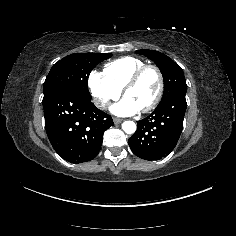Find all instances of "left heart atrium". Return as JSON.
<instances>
[{
    "instance_id": "1",
    "label": "left heart atrium",
    "mask_w": 236,
    "mask_h": 236,
    "mask_svg": "<svg viewBox=\"0 0 236 236\" xmlns=\"http://www.w3.org/2000/svg\"><path fill=\"white\" fill-rule=\"evenodd\" d=\"M111 111L118 116H129L140 112V109L129 99L124 98L112 106Z\"/></svg>"
}]
</instances>
